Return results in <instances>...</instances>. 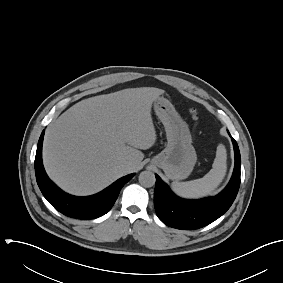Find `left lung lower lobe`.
I'll list each match as a JSON object with an SVG mask.
<instances>
[{
    "label": "left lung lower lobe",
    "instance_id": "0a47b994",
    "mask_svg": "<svg viewBox=\"0 0 283 283\" xmlns=\"http://www.w3.org/2000/svg\"><path fill=\"white\" fill-rule=\"evenodd\" d=\"M231 139L235 153L233 175L227 187L215 197L200 200L181 199L155 175L154 206L158 218L164 224L176 229H198L212 223L230 208L239 190L241 165L237 142L232 137Z\"/></svg>",
    "mask_w": 283,
    "mask_h": 283
}]
</instances>
